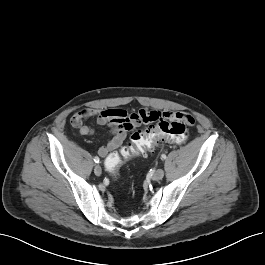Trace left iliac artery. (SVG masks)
<instances>
[{
	"label": "left iliac artery",
	"mask_w": 265,
	"mask_h": 265,
	"mask_svg": "<svg viewBox=\"0 0 265 265\" xmlns=\"http://www.w3.org/2000/svg\"><path fill=\"white\" fill-rule=\"evenodd\" d=\"M161 159H162V160H165V159H166V155H165V154H162V155H161Z\"/></svg>",
	"instance_id": "44dca946"
}]
</instances>
